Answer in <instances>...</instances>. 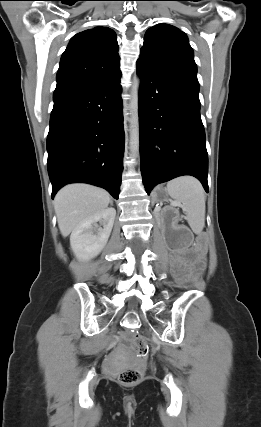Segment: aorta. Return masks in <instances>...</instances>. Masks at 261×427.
<instances>
[{
    "instance_id": "aorta-1",
    "label": "aorta",
    "mask_w": 261,
    "mask_h": 427,
    "mask_svg": "<svg viewBox=\"0 0 261 427\" xmlns=\"http://www.w3.org/2000/svg\"><path fill=\"white\" fill-rule=\"evenodd\" d=\"M139 87L140 79L138 76H134L130 99V151L132 156H137L139 152Z\"/></svg>"
}]
</instances>
